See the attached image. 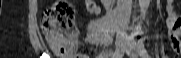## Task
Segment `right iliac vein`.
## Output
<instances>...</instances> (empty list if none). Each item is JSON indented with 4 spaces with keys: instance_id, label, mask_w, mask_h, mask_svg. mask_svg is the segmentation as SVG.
Listing matches in <instances>:
<instances>
[{
    "instance_id": "63e3f726",
    "label": "right iliac vein",
    "mask_w": 181,
    "mask_h": 58,
    "mask_svg": "<svg viewBox=\"0 0 181 58\" xmlns=\"http://www.w3.org/2000/svg\"><path fill=\"white\" fill-rule=\"evenodd\" d=\"M126 44H127V41L124 37H122V36L117 37V39H116V51L124 49Z\"/></svg>"
}]
</instances>
